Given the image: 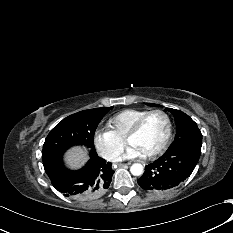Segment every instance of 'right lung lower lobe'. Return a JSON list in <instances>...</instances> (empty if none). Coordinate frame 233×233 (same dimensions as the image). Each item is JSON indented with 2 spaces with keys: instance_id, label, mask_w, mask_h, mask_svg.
<instances>
[{
  "instance_id": "right-lung-lower-lobe-1",
  "label": "right lung lower lobe",
  "mask_w": 233,
  "mask_h": 233,
  "mask_svg": "<svg viewBox=\"0 0 233 233\" xmlns=\"http://www.w3.org/2000/svg\"><path fill=\"white\" fill-rule=\"evenodd\" d=\"M111 163L91 154L87 164L79 170L65 167L62 159L44 167L53 186L67 197L90 200L102 195L109 187L114 171Z\"/></svg>"
}]
</instances>
